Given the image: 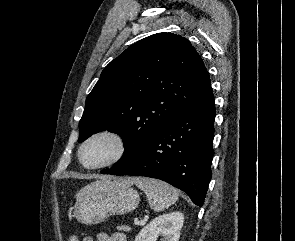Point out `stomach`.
I'll list each match as a JSON object with an SVG mask.
<instances>
[{
	"label": "stomach",
	"instance_id": "obj_1",
	"mask_svg": "<svg viewBox=\"0 0 295 241\" xmlns=\"http://www.w3.org/2000/svg\"><path fill=\"white\" fill-rule=\"evenodd\" d=\"M139 194L125 179H108L91 183L77 196L74 217L86 225L101 223L112 215L133 211Z\"/></svg>",
	"mask_w": 295,
	"mask_h": 241
}]
</instances>
